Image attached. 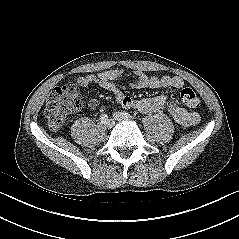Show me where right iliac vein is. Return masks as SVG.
Returning <instances> with one entry per match:
<instances>
[{
	"instance_id": "right-iliac-vein-1",
	"label": "right iliac vein",
	"mask_w": 239,
	"mask_h": 239,
	"mask_svg": "<svg viewBox=\"0 0 239 239\" xmlns=\"http://www.w3.org/2000/svg\"><path fill=\"white\" fill-rule=\"evenodd\" d=\"M105 126H106L108 129H111V128L114 126L113 120H107V122L105 123Z\"/></svg>"
}]
</instances>
